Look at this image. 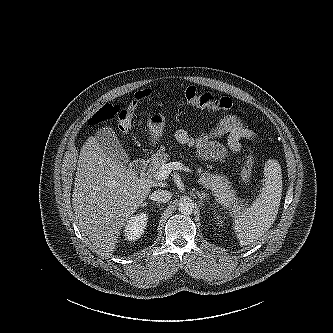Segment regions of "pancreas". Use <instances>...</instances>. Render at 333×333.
<instances>
[{
	"mask_svg": "<svg viewBox=\"0 0 333 333\" xmlns=\"http://www.w3.org/2000/svg\"><path fill=\"white\" fill-rule=\"evenodd\" d=\"M169 157V154L164 153V148L159 149L151 156L149 173L154 177L161 166L169 161ZM197 172L199 173L198 183L206 189H210L217 202L225 209L236 212L240 209L239 205H244L242 200L236 198L235 190L232 189V185L227 177L219 174H211L208 171H203L202 168H198Z\"/></svg>",
	"mask_w": 333,
	"mask_h": 333,
	"instance_id": "1",
	"label": "pancreas"
}]
</instances>
